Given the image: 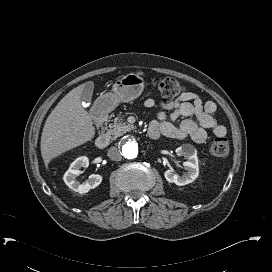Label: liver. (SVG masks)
<instances>
[{"label": "liver", "mask_w": 272, "mask_h": 272, "mask_svg": "<svg viewBox=\"0 0 272 272\" xmlns=\"http://www.w3.org/2000/svg\"><path fill=\"white\" fill-rule=\"evenodd\" d=\"M85 84L66 94L45 122L40 145L45 166L53 158L90 141L95 135L92 118L81 104Z\"/></svg>", "instance_id": "liver-1"}]
</instances>
